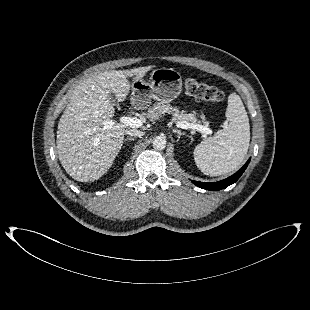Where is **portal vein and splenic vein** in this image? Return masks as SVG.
<instances>
[{
  "instance_id": "obj_1",
  "label": "portal vein and splenic vein",
  "mask_w": 310,
  "mask_h": 310,
  "mask_svg": "<svg viewBox=\"0 0 310 310\" xmlns=\"http://www.w3.org/2000/svg\"><path fill=\"white\" fill-rule=\"evenodd\" d=\"M120 122L125 124L126 126H130L132 128H139L142 126V121L136 117H125L122 116L120 117ZM113 120H109L105 122L104 128L108 129L111 128L114 125ZM177 127L182 128V129H193L196 131H199L200 133L204 134H211L212 130L206 126L199 125L196 123H187V122H178Z\"/></svg>"
}]
</instances>
